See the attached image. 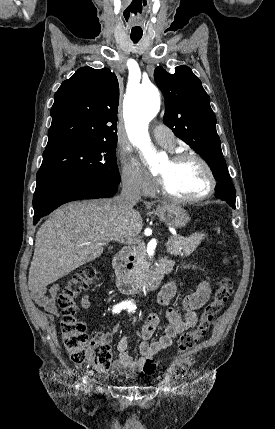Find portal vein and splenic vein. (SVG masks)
Segmentation results:
<instances>
[{
  "instance_id": "obj_1",
  "label": "portal vein and splenic vein",
  "mask_w": 275,
  "mask_h": 429,
  "mask_svg": "<svg viewBox=\"0 0 275 429\" xmlns=\"http://www.w3.org/2000/svg\"><path fill=\"white\" fill-rule=\"evenodd\" d=\"M113 239L115 240V241H118V242H120V243H127V244H131V243H133L134 241H133V239H131V238H125V237H123V236H120V235H115L114 237H113ZM171 239V238H170ZM170 239L166 242V247H169L170 245H171V242H170Z\"/></svg>"
}]
</instances>
